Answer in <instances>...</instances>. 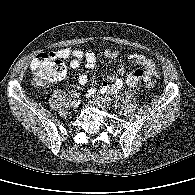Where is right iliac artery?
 Here are the masks:
<instances>
[{"instance_id":"1","label":"right iliac artery","mask_w":195,"mask_h":195,"mask_svg":"<svg viewBox=\"0 0 195 195\" xmlns=\"http://www.w3.org/2000/svg\"><path fill=\"white\" fill-rule=\"evenodd\" d=\"M75 96H76V97H79V96H80V94H79V93H78V94H75Z\"/></svg>"}]
</instances>
